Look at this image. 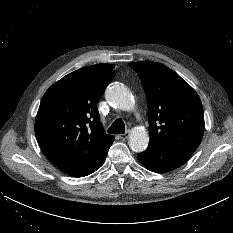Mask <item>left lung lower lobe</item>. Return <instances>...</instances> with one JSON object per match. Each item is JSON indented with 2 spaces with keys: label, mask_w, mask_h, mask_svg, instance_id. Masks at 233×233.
I'll list each match as a JSON object with an SVG mask.
<instances>
[{
  "label": "left lung lower lobe",
  "mask_w": 233,
  "mask_h": 233,
  "mask_svg": "<svg viewBox=\"0 0 233 233\" xmlns=\"http://www.w3.org/2000/svg\"><path fill=\"white\" fill-rule=\"evenodd\" d=\"M192 153L160 149L148 146L147 150L138 154L140 162L149 170L157 173H165L183 165Z\"/></svg>",
  "instance_id": "1"
}]
</instances>
